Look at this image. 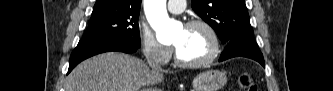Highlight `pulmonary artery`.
I'll use <instances>...</instances> for the list:
<instances>
[{
	"label": "pulmonary artery",
	"instance_id": "1",
	"mask_svg": "<svg viewBox=\"0 0 333 91\" xmlns=\"http://www.w3.org/2000/svg\"><path fill=\"white\" fill-rule=\"evenodd\" d=\"M167 8L171 13H182L185 8V1H168Z\"/></svg>",
	"mask_w": 333,
	"mask_h": 91
}]
</instances>
